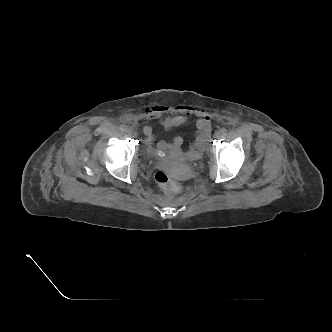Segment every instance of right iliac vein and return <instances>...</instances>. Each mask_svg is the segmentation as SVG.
<instances>
[{
  "label": "right iliac vein",
  "mask_w": 332,
  "mask_h": 332,
  "mask_svg": "<svg viewBox=\"0 0 332 332\" xmlns=\"http://www.w3.org/2000/svg\"><path fill=\"white\" fill-rule=\"evenodd\" d=\"M127 132H128L129 134H132V133H133L132 129H127Z\"/></svg>",
  "instance_id": "63e3f726"
}]
</instances>
